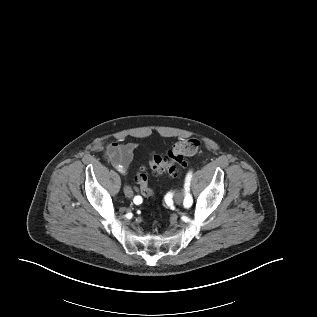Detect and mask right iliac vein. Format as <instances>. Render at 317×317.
I'll use <instances>...</instances> for the list:
<instances>
[{"mask_svg":"<svg viewBox=\"0 0 317 317\" xmlns=\"http://www.w3.org/2000/svg\"><path fill=\"white\" fill-rule=\"evenodd\" d=\"M127 191H129V192L132 194V191H131L130 187L125 186V187H124V193H125V195H126L128 198H131V196H128V195H127Z\"/></svg>","mask_w":317,"mask_h":317,"instance_id":"63e3f726","label":"right iliac vein"}]
</instances>
